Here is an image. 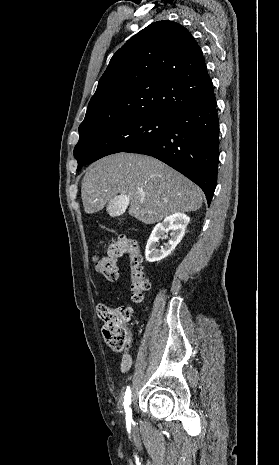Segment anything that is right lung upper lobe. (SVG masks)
Listing matches in <instances>:
<instances>
[{"instance_id": "1", "label": "right lung upper lobe", "mask_w": 279, "mask_h": 465, "mask_svg": "<svg viewBox=\"0 0 279 465\" xmlns=\"http://www.w3.org/2000/svg\"><path fill=\"white\" fill-rule=\"evenodd\" d=\"M212 85L191 33L175 22L152 23L113 55L79 130L141 114L170 116L203 100Z\"/></svg>"}]
</instances>
